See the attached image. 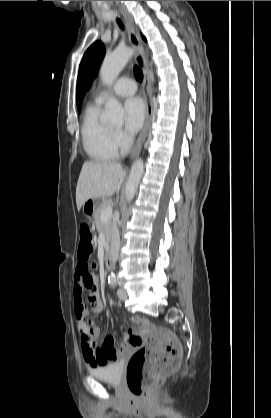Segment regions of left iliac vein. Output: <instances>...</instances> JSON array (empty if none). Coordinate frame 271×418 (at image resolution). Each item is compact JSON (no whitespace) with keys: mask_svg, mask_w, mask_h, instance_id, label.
<instances>
[{"mask_svg":"<svg viewBox=\"0 0 271 418\" xmlns=\"http://www.w3.org/2000/svg\"><path fill=\"white\" fill-rule=\"evenodd\" d=\"M117 295H118L119 299L122 300V301H125L128 297L127 292L123 289H118Z\"/></svg>","mask_w":271,"mask_h":418,"instance_id":"left-iliac-vein-1","label":"left iliac vein"}]
</instances>
